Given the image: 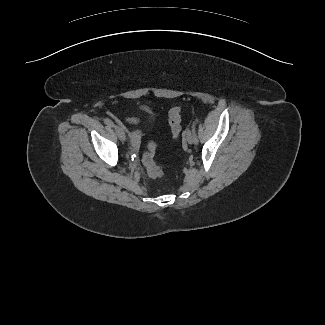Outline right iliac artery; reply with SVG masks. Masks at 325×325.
<instances>
[{
    "mask_svg": "<svg viewBox=\"0 0 325 325\" xmlns=\"http://www.w3.org/2000/svg\"><path fill=\"white\" fill-rule=\"evenodd\" d=\"M104 121L109 127H115L114 123L110 119L106 118Z\"/></svg>",
    "mask_w": 325,
    "mask_h": 325,
    "instance_id": "obj_1",
    "label": "right iliac artery"
}]
</instances>
